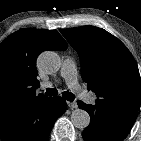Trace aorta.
<instances>
[{
    "mask_svg": "<svg viewBox=\"0 0 141 141\" xmlns=\"http://www.w3.org/2000/svg\"><path fill=\"white\" fill-rule=\"evenodd\" d=\"M38 67L40 70L53 74L56 73L61 66L60 57L54 51H45L38 56ZM71 122L78 129H85L90 124L89 114L80 108H77L71 113Z\"/></svg>",
    "mask_w": 141,
    "mask_h": 141,
    "instance_id": "aorta-1",
    "label": "aorta"
}]
</instances>
